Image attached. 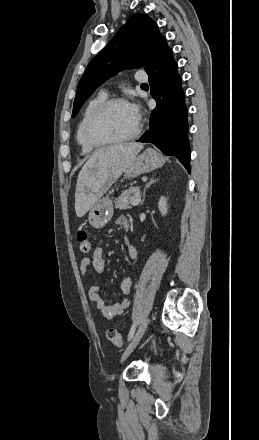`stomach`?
Here are the masks:
<instances>
[{
  "mask_svg": "<svg viewBox=\"0 0 259 440\" xmlns=\"http://www.w3.org/2000/svg\"><path fill=\"white\" fill-rule=\"evenodd\" d=\"M161 164V156L154 149L148 148L134 158L131 165L125 171L126 178H134L158 168ZM114 214L113 202L109 197L99 199L90 209L88 222L92 228L105 227Z\"/></svg>",
  "mask_w": 259,
  "mask_h": 440,
  "instance_id": "stomach-1",
  "label": "stomach"
}]
</instances>
